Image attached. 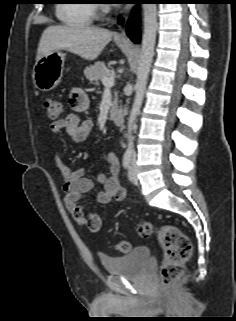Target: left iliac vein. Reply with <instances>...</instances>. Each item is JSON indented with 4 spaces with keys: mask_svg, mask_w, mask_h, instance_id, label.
Listing matches in <instances>:
<instances>
[{
    "mask_svg": "<svg viewBox=\"0 0 236 321\" xmlns=\"http://www.w3.org/2000/svg\"><path fill=\"white\" fill-rule=\"evenodd\" d=\"M128 178L133 184H138V178L136 175V166L133 159L131 160V163H130Z\"/></svg>",
    "mask_w": 236,
    "mask_h": 321,
    "instance_id": "obj_1",
    "label": "left iliac vein"
}]
</instances>
